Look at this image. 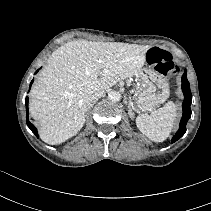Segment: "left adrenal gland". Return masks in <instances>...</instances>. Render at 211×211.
Instances as JSON below:
<instances>
[{
	"instance_id": "a2214340",
	"label": "left adrenal gland",
	"mask_w": 211,
	"mask_h": 211,
	"mask_svg": "<svg viewBox=\"0 0 211 211\" xmlns=\"http://www.w3.org/2000/svg\"><path fill=\"white\" fill-rule=\"evenodd\" d=\"M128 99H129V101H128V114L130 115V117H132L134 115V113L132 112L133 104H132V100H131L130 95H129Z\"/></svg>"
}]
</instances>
